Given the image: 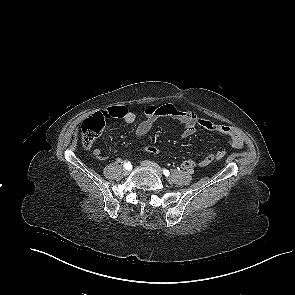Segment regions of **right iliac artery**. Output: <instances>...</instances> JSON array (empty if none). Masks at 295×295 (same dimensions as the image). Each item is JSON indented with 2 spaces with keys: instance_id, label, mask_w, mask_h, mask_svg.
Wrapping results in <instances>:
<instances>
[{
  "instance_id": "1",
  "label": "right iliac artery",
  "mask_w": 295,
  "mask_h": 295,
  "mask_svg": "<svg viewBox=\"0 0 295 295\" xmlns=\"http://www.w3.org/2000/svg\"><path fill=\"white\" fill-rule=\"evenodd\" d=\"M124 168H125L126 170H131V169H132V165H131V163H130V162H125V163H124Z\"/></svg>"
}]
</instances>
